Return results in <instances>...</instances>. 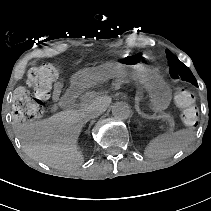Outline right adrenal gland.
Returning <instances> with one entry per match:
<instances>
[{"label":"right adrenal gland","instance_id":"1","mask_svg":"<svg viewBox=\"0 0 211 211\" xmlns=\"http://www.w3.org/2000/svg\"><path fill=\"white\" fill-rule=\"evenodd\" d=\"M95 123V121H92L89 126H88V130H90L91 126Z\"/></svg>","mask_w":211,"mask_h":211}]
</instances>
